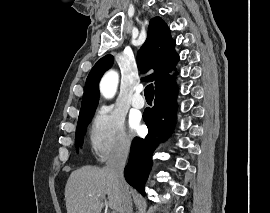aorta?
<instances>
[{"label": "aorta", "instance_id": "762f6f07", "mask_svg": "<svg viewBox=\"0 0 270 213\" xmlns=\"http://www.w3.org/2000/svg\"><path fill=\"white\" fill-rule=\"evenodd\" d=\"M118 84V74L115 71H109L103 77L100 83V90L105 98H112L116 92Z\"/></svg>", "mask_w": 270, "mask_h": 213}]
</instances>
